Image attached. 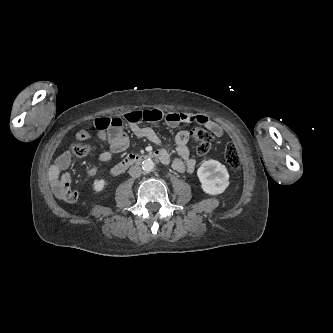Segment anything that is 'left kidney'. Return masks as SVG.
Here are the masks:
<instances>
[{
  "label": "left kidney",
  "mask_w": 333,
  "mask_h": 333,
  "mask_svg": "<svg viewBox=\"0 0 333 333\" xmlns=\"http://www.w3.org/2000/svg\"><path fill=\"white\" fill-rule=\"evenodd\" d=\"M202 190L210 195L224 192L229 185L227 168L216 160L205 161L197 170Z\"/></svg>",
  "instance_id": "obj_1"
}]
</instances>
